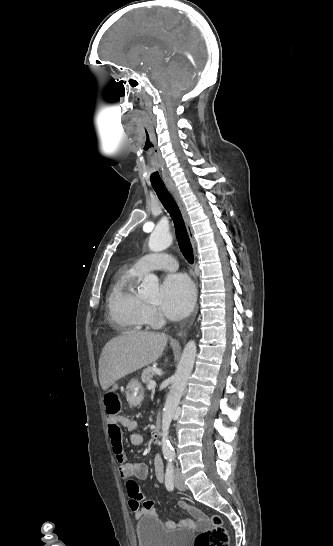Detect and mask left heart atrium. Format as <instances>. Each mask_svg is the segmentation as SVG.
<instances>
[{
  "mask_svg": "<svg viewBox=\"0 0 333 546\" xmlns=\"http://www.w3.org/2000/svg\"><path fill=\"white\" fill-rule=\"evenodd\" d=\"M161 295V309L171 319L186 316L195 300L194 286L184 274L168 275L162 284Z\"/></svg>",
  "mask_w": 333,
  "mask_h": 546,
  "instance_id": "obj_1",
  "label": "left heart atrium"
}]
</instances>
